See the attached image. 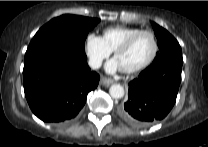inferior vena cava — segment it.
Instances as JSON below:
<instances>
[{"label":"inferior vena cava","mask_w":208,"mask_h":147,"mask_svg":"<svg viewBox=\"0 0 208 147\" xmlns=\"http://www.w3.org/2000/svg\"><path fill=\"white\" fill-rule=\"evenodd\" d=\"M88 64L92 69H98L102 65V60L100 58H90Z\"/></svg>","instance_id":"obj_1"}]
</instances>
